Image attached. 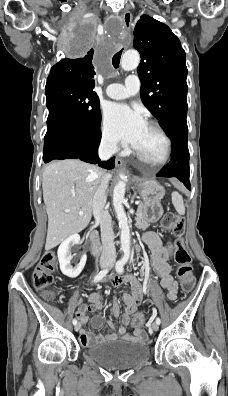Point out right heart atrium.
Wrapping results in <instances>:
<instances>
[{"label": "right heart atrium", "instance_id": "d8ad5b80", "mask_svg": "<svg viewBox=\"0 0 228 396\" xmlns=\"http://www.w3.org/2000/svg\"><path fill=\"white\" fill-rule=\"evenodd\" d=\"M101 141L106 149L110 151L116 150L117 144L105 127L101 131Z\"/></svg>", "mask_w": 228, "mask_h": 396}]
</instances>
